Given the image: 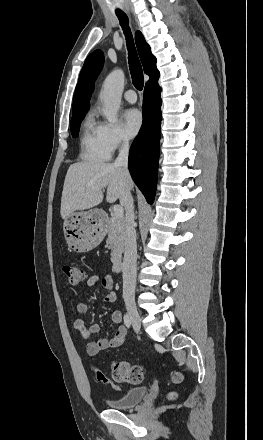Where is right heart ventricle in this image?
<instances>
[{"mask_svg":"<svg viewBox=\"0 0 263 440\" xmlns=\"http://www.w3.org/2000/svg\"><path fill=\"white\" fill-rule=\"evenodd\" d=\"M111 153L103 137V124L89 114L83 124L80 138V156L85 161L99 162L108 160Z\"/></svg>","mask_w":263,"mask_h":440,"instance_id":"e07e8e85","label":"right heart ventricle"}]
</instances>
